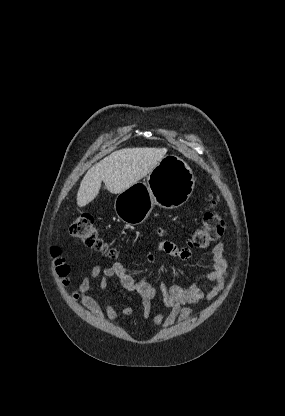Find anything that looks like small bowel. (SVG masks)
Masks as SVG:
<instances>
[{
  "mask_svg": "<svg viewBox=\"0 0 285 416\" xmlns=\"http://www.w3.org/2000/svg\"><path fill=\"white\" fill-rule=\"evenodd\" d=\"M155 231L160 236L166 234L165 230L161 228ZM157 249L182 260H186L192 255L189 246L178 247L168 240L159 241ZM213 262V268L210 271L201 274L188 285L168 284L163 281L159 286L151 284L144 277L131 274L120 262H115L104 269L95 265L91 272L83 277L71 294V298L74 301L80 300L83 306L97 318L115 321L119 316L116 308L108 302L99 303L88 293L92 290L105 291L108 288L109 281L117 278L124 289L138 296L142 303L145 320L149 318L152 303L157 300L161 301L163 309L153 317L152 324L168 328L176 322L181 323L189 320L193 315L192 305L202 301H212L221 293L228 275V263L224 256L223 243L214 246ZM206 283L215 284L209 292L202 289V285ZM121 313L130 316L132 308L128 305H122Z\"/></svg>",
  "mask_w": 285,
  "mask_h": 416,
  "instance_id": "obj_1",
  "label": "small bowel"
}]
</instances>
